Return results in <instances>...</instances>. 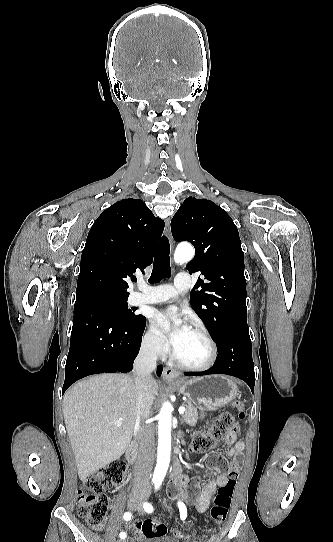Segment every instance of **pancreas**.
<instances>
[{"mask_svg": "<svg viewBox=\"0 0 333 542\" xmlns=\"http://www.w3.org/2000/svg\"><path fill=\"white\" fill-rule=\"evenodd\" d=\"M182 406L186 408L185 414H182V418L189 426H196L198 422V410L191 404V402H183Z\"/></svg>", "mask_w": 333, "mask_h": 542, "instance_id": "pancreas-1", "label": "pancreas"}]
</instances>
